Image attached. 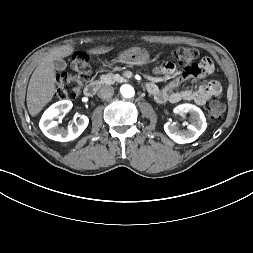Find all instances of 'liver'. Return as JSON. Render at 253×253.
Listing matches in <instances>:
<instances>
[{
  "instance_id": "liver-1",
  "label": "liver",
  "mask_w": 253,
  "mask_h": 253,
  "mask_svg": "<svg viewBox=\"0 0 253 253\" xmlns=\"http://www.w3.org/2000/svg\"><path fill=\"white\" fill-rule=\"evenodd\" d=\"M109 47L90 50L92 54H103L110 51ZM71 45H62L51 50L34 70L27 89V108L31 116L37 115L49 103L56 92V72L53 61L71 55Z\"/></svg>"
}]
</instances>
